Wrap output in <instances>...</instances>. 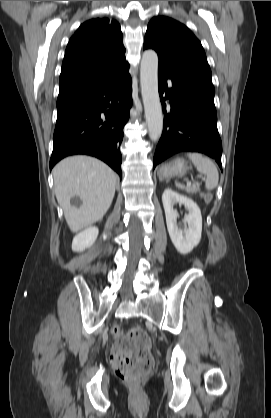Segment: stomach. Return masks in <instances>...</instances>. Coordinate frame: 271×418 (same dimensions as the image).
Segmentation results:
<instances>
[{
    "label": "stomach",
    "instance_id": "obj_1",
    "mask_svg": "<svg viewBox=\"0 0 271 418\" xmlns=\"http://www.w3.org/2000/svg\"><path fill=\"white\" fill-rule=\"evenodd\" d=\"M187 170L188 166L185 160L178 158L169 164L163 165L158 175L161 179H168L173 176H183Z\"/></svg>",
    "mask_w": 271,
    "mask_h": 418
}]
</instances>
